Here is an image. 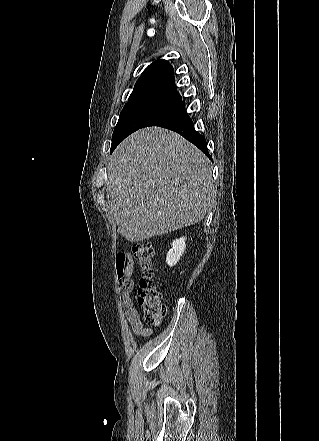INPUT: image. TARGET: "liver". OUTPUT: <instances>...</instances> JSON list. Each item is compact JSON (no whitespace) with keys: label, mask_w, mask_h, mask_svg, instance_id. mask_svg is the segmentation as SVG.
<instances>
[{"label":"liver","mask_w":319,"mask_h":441,"mask_svg":"<svg viewBox=\"0 0 319 441\" xmlns=\"http://www.w3.org/2000/svg\"><path fill=\"white\" fill-rule=\"evenodd\" d=\"M106 191L117 232L130 242L200 222L216 196L210 160L160 127H146L120 143Z\"/></svg>","instance_id":"obj_1"}]
</instances>
